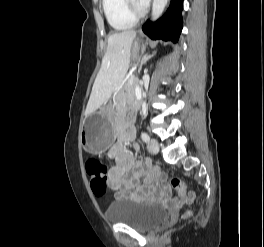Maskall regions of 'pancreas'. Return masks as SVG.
<instances>
[{
    "mask_svg": "<svg viewBox=\"0 0 264 247\" xmlns=\"http://www.w3.org/2000/svg\"><path fill=\"white\" fill-rule=\"evenodd\" d=\"M137 85V78L134 75H131L125 82L122 87V92L120 99L126 100L127 102H136L135 97V87Z\"/></svg>",
    "mask_w": 264,
    "mask_h": 247,
    "instance_id": "cf45deb5",
    "label": "pancreas"
}]
</instances>
